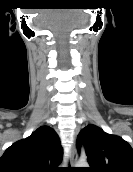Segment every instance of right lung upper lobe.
I'll return each instance as SVG.
<instances>
[{"label": "right lung upper lobe", "mask_w": 133, "mask_h": 172, "mask_svg": "<svg viewBox=\"0 0 133 172\" xmlns=\"http://www.w3.org/2000/svg\"><path fill=\"white\" fill-rule=\"evenodd\" d=\"M63 158L60 139L49 126L15 142L0 158V172H58Z\"/></svg>", "instance_id": "cb5924a9"}]
</instances>
